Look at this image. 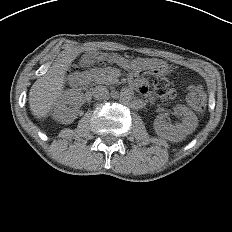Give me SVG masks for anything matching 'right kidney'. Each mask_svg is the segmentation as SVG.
<instances>
[{"label": "right kidney", "mask_w": 232, "mask_h": 232, "mask_svg": "<svg viewBox=\"0 0 232 232\" xmlns=\"http://www.w3.org/2000/svg\"><path fill=\"white\" fill-rule=\"evenodd\" d=\"M68 105L73 107L70 108ZM51 112L55 120L64 124H70L76 119L78 115V108L75 105L72 90L62 91L57 96L52 105Z\"/></svg>", "instance_id": "1"}]
</instances>
